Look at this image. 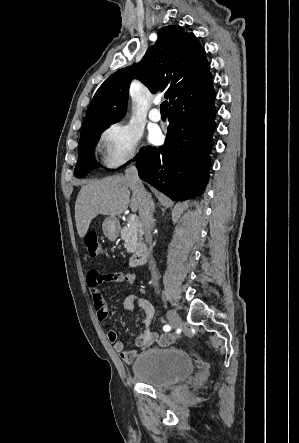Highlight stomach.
<instances>
[{
	"label": "stomach",
	"instance_id": "1",
	"mask_svg": "<svg viewBox=\"0 0 299 443\" xmlns=\"http://www.w3.org/2000/svg\"><path fill=\"white\" fill-rule=\"evenodd\" d=\"M104 235L110 240L115 241L119 234V221L116 217H108L102 225Z\"/></svg>",
	"mask_w": 299,
	"mask_h": 443
}]
</instances>
